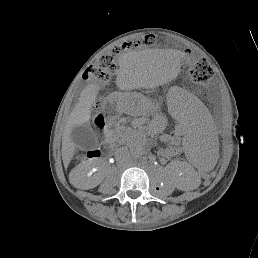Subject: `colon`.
I'll return each instance as SVG.
<instances>
[{
    "instance_id": "obj_1",
    "label": "colon",
    "mask_w": 258,
    "mask_h": 258,
    "mask_svg": "<svg viewBox=\"0 0 258 258\" xmlns=\"http://www.w3.org/2000/svg\"><path fill=\"white\" fill-rule=\"evenodd\" d=\"M157 39L153 34H147L139 39H131L123 45L115 46L109 52L101 55L84 73L88 82L97 85L107 83L116 68V60L123 51H131L140 48L152 47ZM213 71L205 60L196 61L190 68V75L197 83H207L212 77ZM98 107L99 104H96Z\"/></svg>"
}]
</instances>
